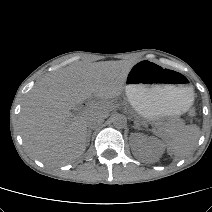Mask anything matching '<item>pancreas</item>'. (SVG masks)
Listing matches in <instances>:
<instances>
[{"instance_id":"cf45deb5","label":"pancreas","mask_w":212,"mask_h":212,"mask_svg":"<svg viewBox=\"0 0 212 212\" xmlns=\"http://www.w3.org/2000/svg\"><path fill=\"white\" fill-rule=\"evenodd\" d=\"M166 130H167V132L171 133L172 131H174V128L173 127H168Z\"/></svg>"}]
</instances>
